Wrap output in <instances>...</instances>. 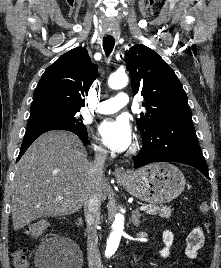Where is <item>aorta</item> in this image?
Masks as SVG:
<instances>
[{"label":"aorta","mask_w":221,"mask_h":268,"mask_svg":"<svg viewBox=\"0 0 221 268\" xmlns=\"http://www.w3.org/2000/svg\"><path fill=\"white\" fill-rule=\"evenodd\" d=\"M128 83V76L125 73H114L108 79V86L111 89H122ZM124 230V216L122 214H116L114 222L112 224V232L107 240V247L105 254L112 256L118 248L121 235Z\"/></svg>","instance_id":"1"}]
</instances>
